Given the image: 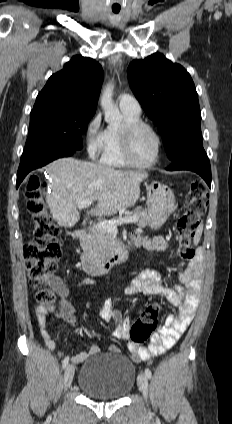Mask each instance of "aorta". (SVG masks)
<instances>
[{
    "label": "aorta",
    "mask_w": 232,
    "mask_h": 424,
    "mask_svg": "<svg viewBox=\"0 0 232 424\" xmlns=\"http://www.w3.org/2000/svg\"><path fill=\"white\" fill-rule=\"evenodd\" d=\"M113 88L114 86L111 83L105 87L101 97V106L105 114V120L110 124H119L122 121V115L113 102Z\"/></svg>",
    "instance_id": "obj_1"
}]
</instances>
